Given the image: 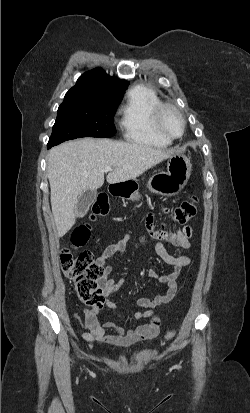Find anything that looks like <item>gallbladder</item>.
Returning a JSON list of instances; mask_svg holds the SVG:
<instances>
[{
    "instance_id": "1",
    "label": "gallbladder",
    "mask_w": 250,
    "mask_h": 413,
    "mask_svg": "<svg viewBox=\"0 0 250 413\" xmlns=\"http://www.w3.org/2000/svg\"><path fill=\"white\" fill-rule=\"evenodd\" d=\"M96 195V190H87L79 196L75 206L78 217H83L87 213L90 205L96 199Z\"/></svg>"
}]
</instances>
